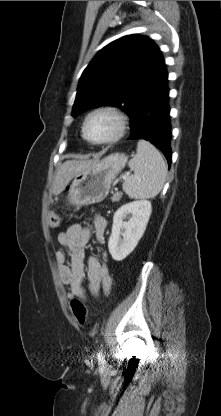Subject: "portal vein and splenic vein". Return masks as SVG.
I'll return each instance as SVG.
<instances>
[{
	"mask_svg": "<svg viewBox=\"0 0 221 416\" xmlns=\"http://www.w3.org/2000/svg\"><path fill=\"white\" fill-rule=\"evenodd\" d=\"M123 179H126V175L122 176Z\"/></svg>",
	"mask_w": 221,
	"mask_h": 416,
	"instance_id": "18ae733b",
	"label": "portal vein and splenic vein"
}]
</instances>
